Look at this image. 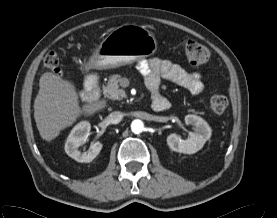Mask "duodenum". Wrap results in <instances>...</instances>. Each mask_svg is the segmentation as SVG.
Instances as JSON below:
<instances>
[{
    "label": "duodenum",
    "instance_id": "1",
    "mask_svg": "<svg viewBox=\"0 0 277 218\" xmlns=\"http://www.w3.org/2000/svg\"><path fill=\"white\" fill-rule=\"evenodd\" d=\"M100 93V80L94 75L90 74L85 79V87L80 92V97L85 102H90L95 100ZM169 108L168 100L159 98L158 100V109L167 110Z\"/></svg>",
    "mask_w": 277,
    "mask_h": 218
}]
</instances>
